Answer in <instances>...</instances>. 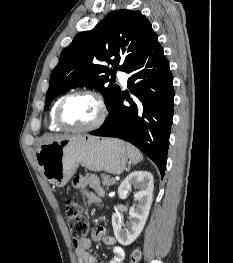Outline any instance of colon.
I'll return each mask as SVG.
<instances>
[{"label": "colon", "instance_id": "colon-1", "mask_svg": "<svg viewBox=\"0 0 233 263\" xmlns=\"http://www.w3.org/2000/svg\"><path fill=\"white\" fill-rule=\"evenodd\" d=\"M67 223L70 229L71 237L75 243L86 239L88 233V222L82 212L81 207L73 202H67L65 206ZM142 258L140 248H135L130 255V263H139Z\"/></svg>", "mask_w": 233, "mask_h": 263}]
</instances>
